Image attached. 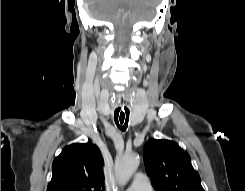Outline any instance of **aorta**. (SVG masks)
Here are the masks:
<instances>
[{
  "label": "aorta",
  "mask_w": 245,
  "mask_h": 191,
  "mask_svg": "<svg viewBox=\"0 0 245 191\" xmlns=\"http://www.w3.org/2000/svg\"><path fill=\"white\" fill-rule=\"evenodd\" d=\"M139 166L137 153H126L117 158L115 162V175L120 185L124 186Z\"/></svg>",
  "instance_id": "aorta-1"
}]
</instances>
